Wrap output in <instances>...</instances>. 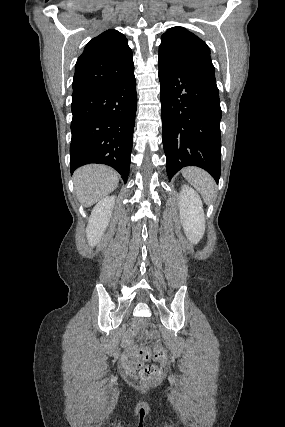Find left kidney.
Returning a JSON list of instances; mask_svg holds the SVG:
<instances>
[{
  "instance_id": "1",
  "label": "left kidney",
  "mask_w": 285,
  "mask_h": 427,
  "mask_svg": "<svg viewBox=\"0 0 285 427\" xmlns=\"http://www.w3.org/2000/svg\"><path fill=\"white\" fill-rule=\"evenodd\" d=\"M180 218L188 239L197 244L205 232V215L199 195L184 185L180 193Z\"/></svg>"
}]
</instances>
